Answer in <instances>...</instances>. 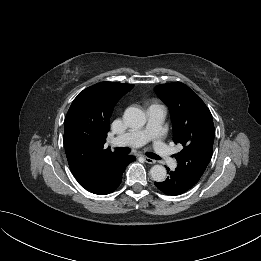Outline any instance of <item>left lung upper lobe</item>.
<instances>
[{
    "label": "left lung upper lobe",
    "instance_id": "5c2ea615",
    "mask_svg": "<svg viewBox=\"0 0 261 261\" xmlns=\"http://www.w3.org/2000/svg\"><path fill=\"white\" fill-rule=\"evenodd\" d=\"M154 90L169 107L174 142L183 145V150L175 155L177 169L197 183L213 152L212 115L197 94L181 82L161 84Z\"/></svg>",
    "mask_w": 261,
    "mask_h": 261
}]
</instances>
